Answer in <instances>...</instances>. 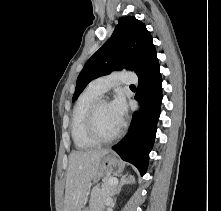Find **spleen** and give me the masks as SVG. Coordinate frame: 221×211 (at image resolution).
Masks as SVG:
<instances>
[{"mask_svg":"<svg viewBox=\"0 0 221 211\" xmlns=\"http://www.w3.org/2000/svg\"><path fill=\"white\" fill-rule=\"evenodd\" d=\"M131 179L134 180L133 176H131Z\"/></svg>","mask_w":221,"mask_h":211,"instance_id":"1","label":"spleen"}]
</instances>
